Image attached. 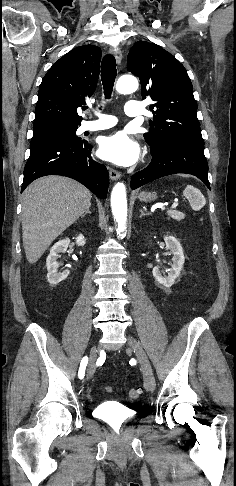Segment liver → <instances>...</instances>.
Returning a JSON list of instances; mask_svg holds the SVG:
<instances>
[{"label":"liver","instance_id":"obj_1","mask_svg":"<svg viewBox=\"0 0 236 486\" xmlns=\"http://www.w3.org/2000/svg\"><path fill=\"white\" fill-rule=\"evenodd\" d=\"M90 191L62 176L35 180L23 193L22 239L27 261L36 263L51 243L91 205Z\"/></svg>","mask_w":236,"mask_h":486}]
</instances>
